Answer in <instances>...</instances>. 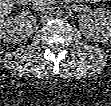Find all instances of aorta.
<instances>
[{
  "instance_id": "obj_1",
  "label": "aorta",
  "mask_w": 111,
  "mask_h": 106,
  "mask_svg": "<svg viewBox=\"0 0 111 106\" xmlns=\"http://www.w3.org/2000/svg\"><path fill=\"white\" fill-rule=\"evenodd\" d=\"M64 14L63 10L62 9H59L56 11V15L57 16H62Z\"/></svg>"
}]
</instances>
